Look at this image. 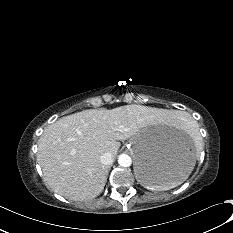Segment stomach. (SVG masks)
<instances>
[{
  "label": "stomach",
  "instance_id": "0dacf381",
  "mask_svg": "<svg viewBox=\"0 0 233 233\" xmlns=\"http://www.w3.org/2000/svg\"><path fill=\"white\" fill-rule=\"evenodd\" d=\"M130 145L136 178L150 189L184 180L196 162L197 153L189 138L158 126L139 131L131 138Z\"/></svg>",
  "mask_w": 233,
  "mask_h": 233
}]
</instances>
